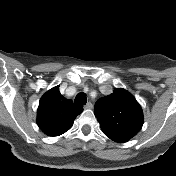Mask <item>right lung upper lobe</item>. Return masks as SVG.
<instances>
[{"label": "right lung upper lobe", "instance_id": "right-lung-upper-lobe-1", "mask_svg": "<svg viewBox=\"0 0 176 176\" xmlns=\"http://www.w3.org/2000/svg\"><path fill=\"white\" fill-rule=\"evenodd\" d=\"M83 111V107L75 105L64 98L59 86L47 91L39 102L37 110V124L45 134L59 136L68 131L76 118Z\"/></svg>", "mask_w": 176, "mask_h": 176}]
</instances>
